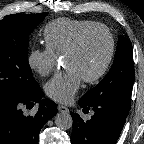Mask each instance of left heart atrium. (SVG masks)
I'll use <instances>...</instances> for the list:
<instances>
[{"label":"left heart atrium","instance_id":"39dd6f15","mask_svg":"<svg viewBox=\"0 0 144 144\" xmlns=\"http://www.w3.org/2000/svg\"><path fill=\"white\" fill-rule=\"evenodd\" d=\"M82 79L75 68H66L47 82L45 92L56 102L68 103L80 88Z\"/></svg>","mask_w":144,"mask_h":144}]
</instances>
